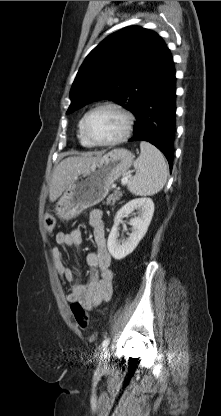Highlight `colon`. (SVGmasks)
I'll list each match as a JSON object with an SVG mask.
<instances>
[{
    "label": "colon",
    "instance_id": "5ec220e1",
    "mask_svg": "<svg viewBox=\"0 0 221 416\" xmlns=\"http://www.w3.org/2000/svg\"><path fill=\"white\" fill-rule=\"evenodd\" d=\"M44 226L46 231L51 232L55 227L54 216L47 215L44 220ZM70 308L78 326L81 329H86L89 326V317L84 307L79 302H73L71 303Z\"/></svg>",
    "mask_w": 221,
    "mask_h": 416
}]
</instances>
